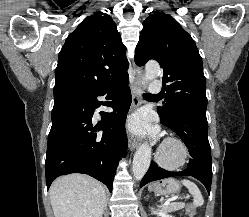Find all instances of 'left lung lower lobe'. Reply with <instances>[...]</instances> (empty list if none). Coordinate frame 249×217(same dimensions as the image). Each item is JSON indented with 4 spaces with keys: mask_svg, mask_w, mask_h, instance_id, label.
Segmentation results:
<instances>
[{
    "mask_svg": "<svg viewBox=\"0 0 249 217\" xmlns=\"http://www.w3.org/2000/svg\"><path fill=\"white\" fill-rule=\"evenodd\" d=\"M162 124L172 129L187 145L191 155L187 169L181 172H169L155 162L143 177L140 186L149 182L173 176H192L201 181L210 193L212 182L211 148L208 141V123L206 112L193 109L177 111L171 122Z\"/></svg>",
    "mask_w": 249,
    "mask_h": 217,
    "instance_id": "0a47b994",
    "label": "left lung lower lobe"
}]
</instances>
